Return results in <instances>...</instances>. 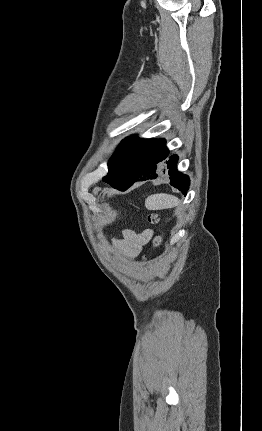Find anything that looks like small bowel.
I'll return each mask as SVG.
<instances>
[{"label":"small bowel","mask_w":262,"mask_h":431,"mask_svg":"<svg viewBox=\"0 0 262 431\" xmlns=\"http://www.w3.org/2000/svg\"><path fill=\"white\" fill-rule=\"evenodd\" d=\"M150 231L145 230L142 233H135L131 230H124V240L121 246L128 252L130 258L134 259L138 255L141 247L145 245L150 239Z\"/></svg>","instance_id":"1"}]
</instances>
